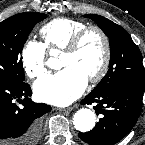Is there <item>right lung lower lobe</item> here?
Wrapping results in <instances>:
<instances>
[{"mask_svg": "<svg viewBox=\"0 0 145 145\" xmlns=\"http://www.w3.org/2000/svg\"><path fill=\"white\" fill-rule=\"evenodd\" d=\"M30 96V85L24 81H0V145H36L40 137L39 117L51 107L32 102Z\"/></svg>", "mask_w": 145, "mask_h": 145, "instance_id": "right-lung-lower-lobe-1", "label": "right lung lower lobe"}]
</instances>
